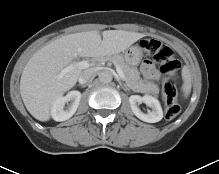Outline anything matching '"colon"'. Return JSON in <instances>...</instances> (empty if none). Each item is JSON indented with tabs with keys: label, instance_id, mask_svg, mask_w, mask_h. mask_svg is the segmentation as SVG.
<instances>
[{
	"label": "colon",
	"instance_id": "obj_1",
	"mask_svg": "<svg viewBox=\"0 0 219 174\" xmlns=\"http://www.w3.org/2000/svg\"><path fill=\"white\" fill-rule=\"evenodd\" d=\"M143 48L160 64L163 76L162 91L165 100L164 114L168 120L174 119L180 112L176 102L177 84L181 63L174 51L163 42L151 39L142 43Z\"/></svg>",
	"mask_w": 219,
	"mask_h": 174
}]
</instances>
